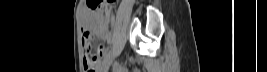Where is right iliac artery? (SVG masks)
I'll use <instances>...</instances> for the list:
<instances>
[{
    "label": "right iliac artery",
    "mask_w": 267,
    "mask_h": 72,
    "mask_svg": "<svg viewBox=\"0 0 267 72\" xmlns=\"http://www.w3.org/2000/svg\"><path fill=\"white\" fill-rule=\"evenodd\" d=\"M113 54V48H111L108 52H107V55H106V58H105V61H107Z\"/></svg>",
    "instance_id": "obj_1"
}]
</instances>
